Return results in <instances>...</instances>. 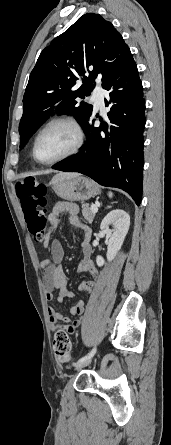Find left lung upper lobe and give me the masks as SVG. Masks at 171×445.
Masks as SVG:
<instances>
[{
    "label": "left lung upper lobe",
    "mask_w": 171,
    "mask_h": 445,
    "mask_svg": "<svg viewBox=\"0 0 171 445\" xmlns=\"http://www.w3.org/2000/svg\"><path fill=\"white\" fill-rule=\"evenodd\" d=\"M132 63L129 47L110 22L99 14L81 16L41 52L30 74L19 124L20 148L55 112L74 116L83 127L93 106L78 99L90 95L96 79L103 87ZM79 78L84 85L77 88Z\"/></svg>",
    "instance_id": "1"
}]
</instances>
